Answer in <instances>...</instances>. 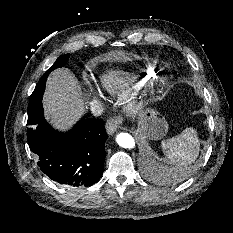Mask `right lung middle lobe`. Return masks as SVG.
Listing matches in <instances>:
<instances>
[{
    "label": "right lung middle lobe",
    "mask_w": 233,
    "mask_h": 233,
    "mask_svg": "<svg viewBox=\"0 0 233 233\" xmlns=\"http://www.w3.org/2000/svg\"><path fill=\"white\" fill-rule=\"evenodd\" d=\"M70 54H65L60 56L55 63L50 67L49 70L46 71V73L44 74L43 77H47L49 75L50 72H52L54 69L56 68H60L63 67L68 58H69ZM32 100L30 99L29 102V106H28V121H27V125L28 127V135L31 134L37 124L39 123L40 119L43 117V108H42V104H41V98H39L38 96H31ZM35 98H38V100H34Z\"/></svg>",
    "instance_id": "obj_1"
}]
</instances>
